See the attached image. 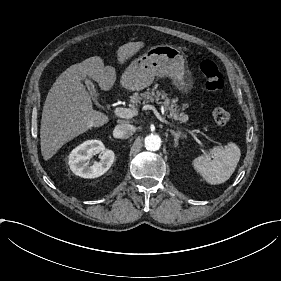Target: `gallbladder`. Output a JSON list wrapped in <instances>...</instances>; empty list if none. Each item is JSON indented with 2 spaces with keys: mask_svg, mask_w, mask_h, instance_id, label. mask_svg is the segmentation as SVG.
<instances>
[{
  "mask_svg": "<svg viewBox=\"0 0 281 281\" xmlns=\"http://www.w3.org/2000/svg\"><path fill=\"white\" fill-rule=\"evenodd\" d=\"M85 83H86L87 88L90 91V94H91L93 100L97 101L98 94L96 92V89L94 88L93 83L90 80H86Z\"/></svg>",
  "mask_w": 281,
  "mask_h": 281,
  "instance_id": "1",
  "label": "gallbladder"
}]
</instances>
